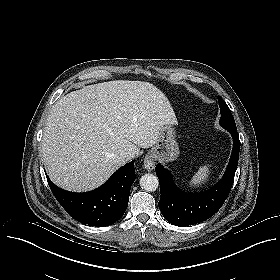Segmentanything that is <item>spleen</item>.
<instances>
[{
    "instance_id": "3e777b00",
    "label": "spleen",
    "mask_w": 280,
    "mask_h": 280,
    "mask_svg": "<svg viewBox=\"0 0 280 280\" xmlns=\"http://www.w3.org/2000/svg\"><path fill=\"white\" fill-rule=\"evenodd\" d=\"M211 165L205 164L204 166H201L197 173L192 177V179L189 182V187L191 188H197L201 187L202 185L206 184L209 180L210 174H211Z\"/></svg>"
}]
</instances>
